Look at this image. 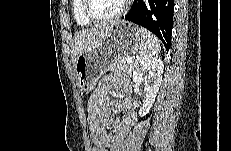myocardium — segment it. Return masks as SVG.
Returning <instances> with one entry per match:
<instances>
[{"mask_svg": "<svg viewBox=\"0 0 231 151\" xmlns=\"http://www.w3.org/2000/svg\"><path fill=\"white\" fill-rule=\"evenodd\" d=\"M130 3H131L130 0H124L122 8L117 13L110 15V16L99 18L91 14L90 0H83V13L85 17L93 23L112 22V21L118 20L119 18H121L122 16L126 14Z\"/></svg>", "mask_w": 231, "mask_h": 151, "instance_id": "1", "label": "myocardium"}]
</instances>
